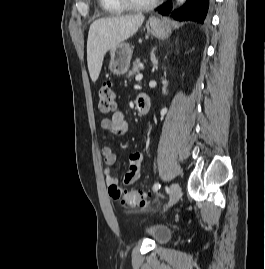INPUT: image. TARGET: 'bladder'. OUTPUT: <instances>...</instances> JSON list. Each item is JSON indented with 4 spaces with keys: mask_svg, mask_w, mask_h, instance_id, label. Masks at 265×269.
<instances>
[{
    "mask_svg": "<svg viewBox=\"0 0 265 269\" xmlns=\"http://www.w3.org/2000/svg\"><path fill=\"white\" fill-rule=\"evenodd\" d=\"M142 228L145 234L148 235L149 238L157 245L167 243L172 236L170 228L164 225H151L143 223Z\"/></svg>",
    "mask_w": 265,
    "mask_h": 269,
    "instance_id": "1",
    "label": "bladder"
}]
</instances>
